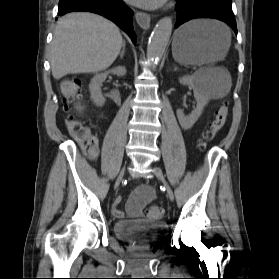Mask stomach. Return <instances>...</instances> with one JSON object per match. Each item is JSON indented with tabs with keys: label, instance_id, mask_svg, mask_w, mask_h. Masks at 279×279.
<instances>
[{
	"label": "stomach",
	"instance_id": "stomach-1",
	"mask_svg": "<svg viewBox=\"0 0 279 279\" xmlns=\"http://www.w3.org/2000/svg\"><path fill=\"white\" fill-rule=\"evenodd\" d=\"M230 43L231 36L221 23L195 20L175 32L172 55L184 65L209 64L224 58Z\"/></svg>",
	"mask_w": 279,
	"mask_h": 279
}]
</instances>
